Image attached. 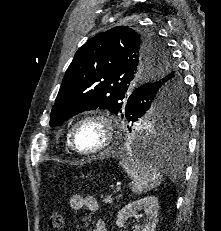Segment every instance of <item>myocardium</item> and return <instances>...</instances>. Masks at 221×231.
<instances>
[{"label": "myocardium", "instance_id": "obj_1", "mask_svg": "<svg viewBox=\"0 0 221 231\" xmlns=\"http://www.w3.org/2000/svg\"><path fill=\"white\" fill-rule=\"evenodd\" d=\"M88 121H98L99 123L102 124L104 128V141L99 147L93 150L83 151L79 149L76 144V133L80 125ZM114 140H115V126H114L113 118L108 113L101 112V111L91 112L80 117L73 124L69 137L71 148L77 154L86 157H92L103 153L104 151L112 147Z\"/></svg>", "mask_w": 221, "mask_h": 231}]
</instances>
